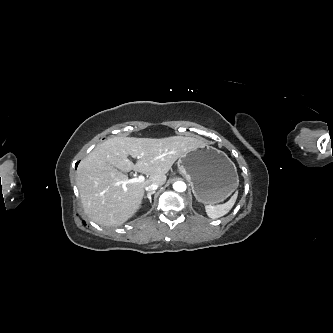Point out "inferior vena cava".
<instances>
[{"label": "inferior vena cava", "mask_w": 333, "mask_h": 333, "mask_svg": "<svg viewBox=\"0 0 333 333\" xmlns=\"http://www.w3.org/2000/svg\"><path fill=\"white\" fill-rule=\"evenodd\" d=\"M158 187H159V184L152 183V184L146 186L145 190L148 191V192H150V191H154V190L158 189Z\"/></svg>", "instance_id": "obj_1"}]
</instances>
